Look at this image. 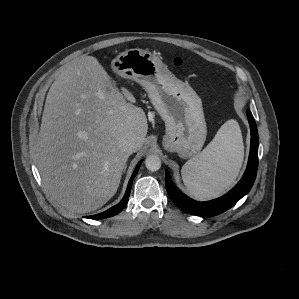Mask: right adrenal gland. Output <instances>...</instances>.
Returning a JSON list of instances; mask_svg holds the SVG:
<instances>
[{
  "mask_svg": "<svg viewBox=\"0 0 299 299\" xmlns=\"http://www.w3.org/2000/svg\"><path fill=\"white\" fill-rule=\"evenodd\" d=\"M125 170H126V166L124 167V172H125Z\"/></svg>",
  "mask_w": 299,
  "mask_h": 299,
  "instance_id": "1",
  "label": "right adrenal gland"
}]
</instances>
